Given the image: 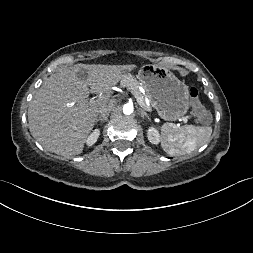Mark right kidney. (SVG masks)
Returning a JSON list of instances; mask_svg holds the SVG:
<instances>
[{
  "instance_id": "1",
  "label": "right kidney",
  "mask_w": 253,
  "mask_h": 253,
  "mask_svg": "<svg viewBox=\"0 0 253 253\" xmlns=\"http://www.w3.org/2000/svg\"><path fill=\"white\" fill-rule=\"evenodd\" d=\"M100 135V130L95 129L86 139V144L88 146H92L94 143H96L98 137Z\"/></svg>"
}]
</instances>
